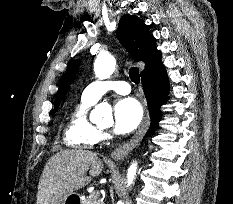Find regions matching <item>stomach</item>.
Wrapping results in <instances>:
<instances>
[{
  "instance_id": "0dacf381",
  "label": "stomach",
  "mask_w": 233,
  "mask_h": 204,
  "mask_svg": "<svg viewBox=\"0 0 233 204\" xmlns=\"http://www.w3.org/2000/svg\"><path fill=\"white\" fill-rule=\"evenodd\" d=\"M66 201H67V198L64 201H62L60 204H66Z\"/></svg>"
}]
</instances>
